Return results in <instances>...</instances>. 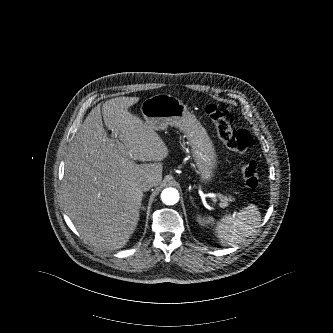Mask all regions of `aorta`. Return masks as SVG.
Listing matches in <instances>:
<instances>
[{"mask_svg": "<svg viewBox=\"0 0 333 333\" xmlns=\"http://www.w3.org/2000/svg\"><path fill=\"white\" fill-rule=\"evenodd\" d=\"M179 199V194L174 188H166L161 192V200L166 205H173Z\"/></svg>", "mask_w": 333, "mask_h": 333, "instance_id": "obj_1", "label": "aorta"}]
</instances>
